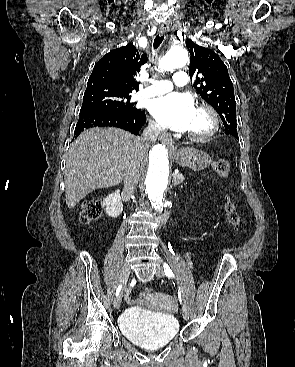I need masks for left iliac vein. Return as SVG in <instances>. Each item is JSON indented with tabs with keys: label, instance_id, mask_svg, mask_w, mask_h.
Here are the masks:
<instances>
[{
	"label": "left iliac vein",
	"instance_id": "1",
	"mask_svg": "<svg viewBox=\"0 0 295 367\" xmlns=\"http://www.w3.org/2000/svg\"><path fill=\"white\" fill-rule=\"evenodd\" d=\"M155 274L159 278L164 277V271H163L162 267L158 266L156 268ZM181 312H182L183 318L188 320L189 319V310L185 305L182 306Z\"/></svg>",
	"mask_w": 295,
	"mask_h": 367
}]
</instances>
